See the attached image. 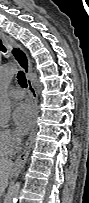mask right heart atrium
Here are the masks:
<instances>
[{"label":"right heart atrium","instance_id":"d8ad5b80","mask_svg":"<svg viewBox=\"0 0 89 203\" xmlns=\"http://www.w3.org/2000/svg\"><path fill=\"white\" fill-rule=\"evenodd\" d=\"M1 137L5 145L13 151H15L21 143V138L10 128L3 129Z\"/></svg>","mask_w":89,"mask_h":203}]
</instances>
